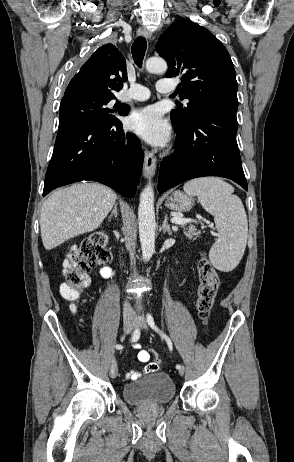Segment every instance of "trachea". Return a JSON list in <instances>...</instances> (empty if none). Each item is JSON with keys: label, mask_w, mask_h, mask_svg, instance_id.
Returning a JSON list of instances; mask_svg holds the SVG:
<instances>
[{"label": "trachea", "mask_w": 294, "mask_h": 462, "mask_svg": "<svg viewBox=\"0 0 294 462\" xmlns=\"http://www.w3.org/2000/svg\"><path fill=\"white\" fill-rule=\"evenodd\" d=\"M146 48H147V42L144 37H138L132 45L131 53H132L134 62L138 67L142 66Z\"/></svg>", "instance_id": "1"}]
</instances>
